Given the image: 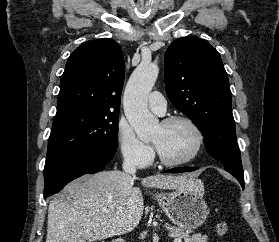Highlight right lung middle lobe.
Segmentation results:
<instances>
[{
    "mask_svg": "<svg viewBox=\"0 0 279 242\" xmlns=\"http://www.w3.org/2000/svg\"><path fill=\"white\" fill-rule=\"evenodd\" d=\"M119 113L89 109L56 114L45 166L84 151H116Z\"/></svg>",
    "mask_w": 279,
    "mask_h": 242,
    "instance_id": "right-lung-middle-lobe-1",
    "label": "right lung middle lobe"
}]
</instances>
